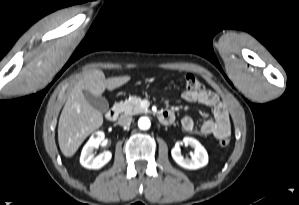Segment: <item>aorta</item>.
<instances>
[{"label":"aorta","instance_id":"762f6f07","mask_svg":"<svg viewBox=\"0 0 299 205\" xmlns=\"http://www.w3.org/2000/svg\"><path fill=\"white\" fill-rule=\"evenodd\" d=\"M138 126L142 130H147L151 126V122L148 117H141L138 121Z\"/></svg>","mask_w":299,"mask_h":205}]
</instances>
